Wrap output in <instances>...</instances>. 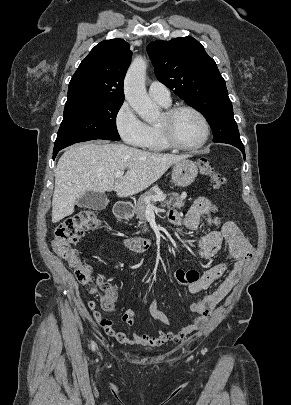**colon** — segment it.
<instances>
[{
	"instance_id": "5ec220e1",
	"label": "colon",
	"mask_w": 291,
	"mask_h": 405,
	"mask_svg": "<svg viewBox=\"0 0 291 405\" xmlns=\"http://www.w3.org/2000/svg\"><path fill=\"white\" fill-rule=\"evenodd\" d=\"M199 171L202 175L208 176L214 187L219 188L224 183V178L216 171L215 166L206 159L199 161ZM100 225V220L96 212L92 209H85L69 217L62 222L55 231L52 241V248L58 256L65 260L73 269L74 275L79 283L90 287L91 291L101 289L105 295L102 298V306L109 308L112 303L106 294L107 286L99 277H95L90 265L82 262L78 253L71 247L85 232L96 229ZM173 278L180 285H189L199 279V275L193 270L178 269L173 272Z\"/></svg>"
}]
</instances>
